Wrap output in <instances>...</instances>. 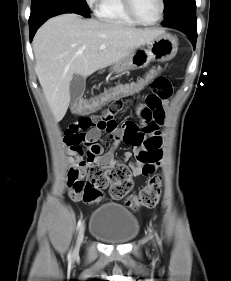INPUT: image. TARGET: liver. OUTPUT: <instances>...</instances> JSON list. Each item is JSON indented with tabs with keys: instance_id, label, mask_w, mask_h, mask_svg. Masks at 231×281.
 <instances>
[{
	"instance_id": "1",
	"label": "liver",
	"mask_w": 231,
	"mask_h": 281,
	"mask_svg": "<svg viewBox=\"0 0 231 281\" xmlns=\"http://www.w3.org/2000/svg\"><path fill=\"white\" fill-rule=\"evenodd\" d=\"M163 33V29L82 19L74 13L46 21L36 32L33 51L35 71L56 122L67 112L74 74L85 78L119 62ZM100 45L106 48L100 50Z\"/></svg>"
}]
</instances>
